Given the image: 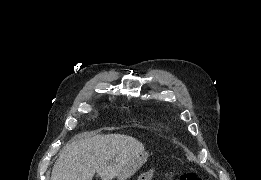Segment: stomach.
Returning a JSON list of instances; mask_svg holds the SVG:
<instances>
[{"label": "stomach", "instance_id": "0dacf381", "mask_svg": "<svg viewBox=\"0 0 261 180\" xmlns=\"http://www.w3.org/2000/svg\"><path fill=\"white\" fill-rule=\"evenodd\" d=\"M148 153L142 152L141 154L133 157L127 165L116 176V180H127L136 173L138 169L147 161Z\"/></svg>", "mask_w": 261, "mask_h": 180}]
</instances>
